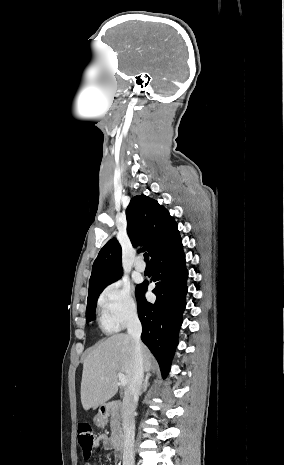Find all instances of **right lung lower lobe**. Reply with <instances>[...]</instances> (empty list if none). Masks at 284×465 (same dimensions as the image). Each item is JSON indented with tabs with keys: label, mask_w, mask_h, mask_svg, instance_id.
<instances>
[{
	"label": "right lung lower lobe",
	"mask_w": 284,
	"mask_h": 465,
	"mask_svg": "<svg viewBox=\"0 0 284 465\" xmlns=\"http://www.w3.org/2000/svg\"><path fill=\"white\" fill-rule=\"evenodd\" d=\"M154 303L145 299L148 282L136 287L141 339L157 359L163 377L168 375L172 357L178 344L183 312L188 291L185 254L179 236L167 249L151 259Z\"/></svg>",
	"instance_id": "98d812e1"
}]
</instances>
